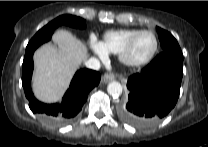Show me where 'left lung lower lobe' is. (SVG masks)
<instances>
[{
    "label": "left lung lower lobe",
    "instance_id": "0a47b994",
    "mask_svg": "<svg viewBox=\"0 0 208 147\" xmlns=\"http://www.w3.org/2000/svg\"><path fill=\"white\" fill-rule=\"evenodd\" d=\"M183 76V56L162 52L141 73L128 78V101L119 109L123 120L144 127L164 118L176 105Z\"/></svg>",
    "mask_w": 208,
    "mask_h": 147
}]
</instances>
